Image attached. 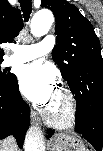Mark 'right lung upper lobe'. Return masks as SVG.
<instances>
[{
  "instance_id": "cb5924a9",
  "label": "right lung upper lobe",
  "mask_w": 103,
  "mask_h": 151,
  "mask_svg": "<svg viewBox=\"0 0 103 151\" xmlns=\"http://www.w3.org/2000/svg\"><path fill=\"white\" fill-rule=\"evenodd\" d=\"M22 18L18 9L11 7L7 0H0V44L12 42L22 29ZM4 51L0 48V60Z\"/></svg>"
}]
</instances>
